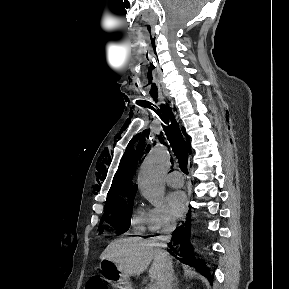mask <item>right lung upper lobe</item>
I'll use <instances>...</instances> for the list:
<instances>
[{"label":"right lung upper lobe","instance_id":"obj_1","mask_svg":"<svg viewBox=\"0 0 289 289\" xmlns=\"http://www.w3.org/2000/svg\"><path fill=\"white\" fill-rule=\"evenodd\" d=\"M139 145L137 146L135 155H134V150H132L129 155H127V153H124L122 160L120 162V165H119V169L117 173L115 174V177L113 180L114 183L112 184L111 189L108 192L106 203L121 202L127 198L130 199L134 197V194L136 192V185L133 186L132 184V174H133L134 165L137 162V161L135 162V158L138 153ZM133 159H134V162H133ZM124 160L126 163H125V166H122V161Z\"/></svg>","mask_w":289,"mask_h":289}]
</instances>
